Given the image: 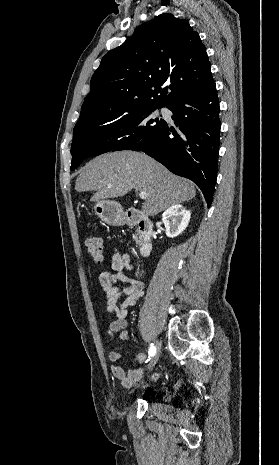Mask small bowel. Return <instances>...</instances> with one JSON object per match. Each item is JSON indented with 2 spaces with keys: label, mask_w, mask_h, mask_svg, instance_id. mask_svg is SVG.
Returning a JSON list of instances; mask_svg holds the SVG:
<instances>
[{
  "label": "small bowel",
  "mask_w": 279,
  "mask_h": 465,
  "mask_svg": "<svg viewBox=\"0 0 279 465\" xmlns=\"http://www.w3.org/2000/svg\"><path fill=\"white\" fill-rule=\"evenodd\" d=\"M111 271H103L99 275V283L105 294L106 310L113 315V320L108 327V336L114 338L116 333H120L121 341L128 342L130 340L129 333L125 330L127 327V315L129 309L133 307L143 295V283L133 279L126 274L127 270L131 269L130 259L127 254L119 252L113 248L111 258ZM123 299L121 304L119 300ZM147 359V355L143 352L138 353L134 361L143 364ZM111 362V372L117 378L123 387L131 388L138 383L143 375L144 368H128L124 369L119 365L123 361V356L115 351L109 353ZM157 373L154 377H158Z\"/></svg>",
  "instance_id": "obj_1"
}]
</instances>
